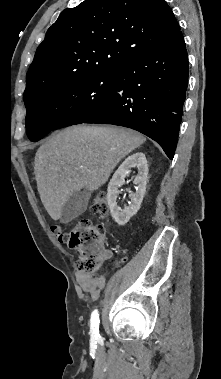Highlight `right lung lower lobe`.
I'll return each instance as SVG.
<instances>
[{"label":"right lung lower lobe","mask_w":221,"mask_h":379,"mask_svg":"<svg viewBox=\"0 0 221 379\" xmlns=\"http://www.w3.org/2000/svg\"><path fill=\"white\" fill-rule=\"evenodd\" d=\"M188 83V56L179 30L118 68L109 101L74 124H114L155 140L172 159Z\"/></svg>","instance_id":"1"}]
</instances>
